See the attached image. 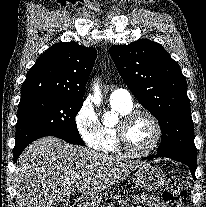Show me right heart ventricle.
<instances>
[{"label":"right heart ventricle","mask_w":206,"mask_h":207,"mask_svg":"<svg viewBox=\"0 0 206 207\" xmlns=\"http://www.w3.org/2000/svg\"><path fill=\"white\" fill-rule=\"evenodd\" d=\"M111 107L114 111L119 113L120 115H126L132 110V107H125L121 104L111 102ZM103 132H104V148L103 150L106 152H112V153H117L119 152V147L117 143V137H116V132H115V127L103 126Z\"/></svg>","instance_id":"e07e8e85"}]
</instances>
